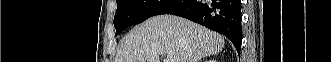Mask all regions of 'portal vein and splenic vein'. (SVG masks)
Masks as SVG:
<instances>
[{
  "instance_id": "18ae733b",
  "label": "portal vein and splenic vein",
  "mask_w": 331,
  "mask_h": 62,
  "mask_svg": "<svg viewBox=\"0 0 331 62\" xmlns=\"http://www.w3.org/2000/svg\"><path fill=\"white\" fill-rule=\"evenodd\" d=\"M166 62H176V57L172 54H168Z\"/></svg>"
}]
</instances>
